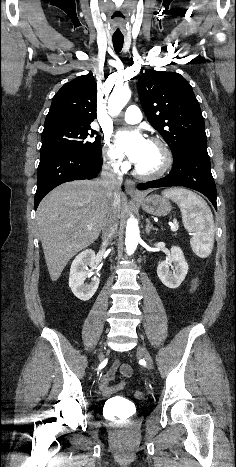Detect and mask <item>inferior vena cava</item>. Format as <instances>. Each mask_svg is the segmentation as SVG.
<instances>
[{
	"label": "inferior vena cava",
	"instance_id": "inferior-vena-cava-1",
	"mask_svg": "<svg viewBox=\"0 0 236 467\" xmlns=\"http://www.w3.org/2000/svg\"><path fill=\"white\" fill-rule=\"evenodd\" d=\"M123 178L118 168L105 164L101 173V183L105 190L106 196L113 199L111 202L106 218L102 225L103 245H107L115 236L118 229L117 203L115 198L119 192Z\"/></svg>",
	"mask_w": 236,
	"mask_h": 467
}]
</instances>
